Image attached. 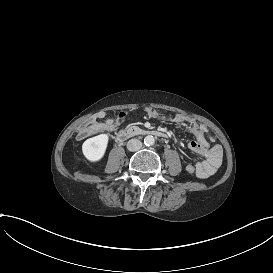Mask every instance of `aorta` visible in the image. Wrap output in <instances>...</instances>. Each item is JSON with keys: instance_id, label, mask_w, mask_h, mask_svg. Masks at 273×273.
<instances>
[{"instance_id": "762f6f07", "label": "aorta", "mask_w": 273, "mask_h": 273, "mask_svg": "<svg viewBox=\"0 0 273 273\" xmlns=\"http://www.w3.org/2000/svg\"><path fill=\"white\" fill-rule=\"evenodd\" d=\"M155 143V138L152 135H147L144 138V144L146 146H152Z\"/></svg>"}]
</instances>
